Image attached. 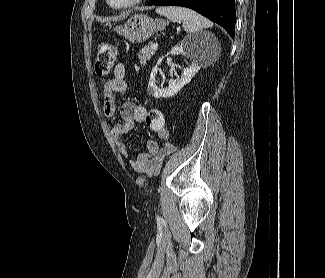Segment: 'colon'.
<instances>
[{
  "mask_svg": "<svg viewBox=\"0 0 325 278\" xmlns=\"http://www.w3.org/2000/svg\"><path fill=\"white\" fill-rule=\"evenodd\" d=\"M117 58V50L112 44H103L95 60V72L98 76H106ZM145 122L147 126L155 132H164L165 117L159 109H150L146 115Z\"/></svg>",
  "mask_w": 325,
  "mask_h": 278,
  "instance_id": "5ec220e1",
  "label": "colon"
}]
</instances>
